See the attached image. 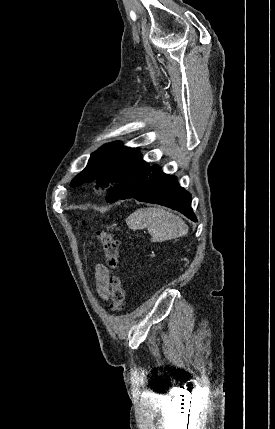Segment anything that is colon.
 I'll use <instances>...</instances> for the list:
<instances>
[{"label":"colon","mask_w":275,"mask_h":429,"mask_svg":"<svg viewBox=\"0 0 275 429\" xmlns=\"http://www.w3.org/2000/svg\"><path fill=\"white\" fill-rule=\"evenodd\" d=\"M97 236L102 243V248L107 266L112 274L109 277L111 296V310L120 312L125 307V291L121 279L115 273L119 262V240L107 229L99 230Z\"/></svg>","instance_id":"5ec220e1"}]
</instances>
